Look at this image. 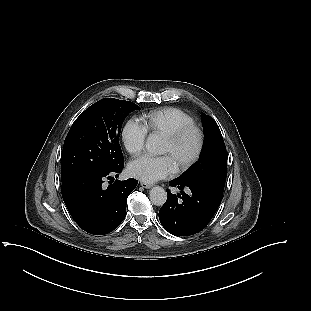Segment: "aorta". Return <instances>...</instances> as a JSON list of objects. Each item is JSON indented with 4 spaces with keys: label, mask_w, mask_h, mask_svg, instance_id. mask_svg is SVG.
<instances>
[{
    "label": "aorta",
    "mask_w": 311,
    "mask_h": 311,
    "mask_svg": "<svg viewBox=\"0 0 311 311\" xmlns=\"http://www.w3.org/2000/svg\"><path fill=\"white\" fill-rule=\"evenodd\" d=\"M146 150L154 155L162 153L161 140L153 135H150L145 144ZM151 202L156 206H163L167 200V193L161 186L153 187L149 192Z\"/></svg>",
    "instance_id": "1"
}]
</instances>
